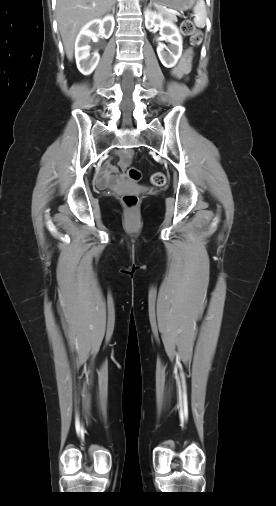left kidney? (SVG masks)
<instances>
[{
  "label": "left kidney",
  "instance_id": "left-kidney-1",
  "mask_svg": "<svg viewBox=\"0 0 276 506\" xmlns=\"http://www.w3.org/2000/svg\"><path fill=\"white\" fill-rule=\"evenodd\" d=\"M145 26L147 29L160 28L161 36L170 44L168 52L165 51L167 47L164 44H158V57L165 67H174L182 55V36L177 26L170 20L163 19L160 13L149 9L145 11Z\"/></svg>",
  "mask_w": 276,
  "mask_h": 506
}]
</instances>
